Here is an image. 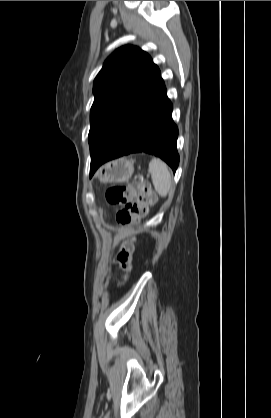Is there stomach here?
Instances as JSON below:
<instances>
[{
	"instance_id": "1",
	"label": "stomach",
	"mask_w": 271,
	"mask_h": 418,
	"mask_svg": "<svg viewBox=\"0 0 271 418\" xmlns=\"http://www.w3.org/2000/svg\"><path fill=\"white\" fill-rule=\"evenodd\" d=\"M133 172V162L120 158L103 165L96 176L101 183H123L131 178Z\"/></svg>"
}]
</instances>
